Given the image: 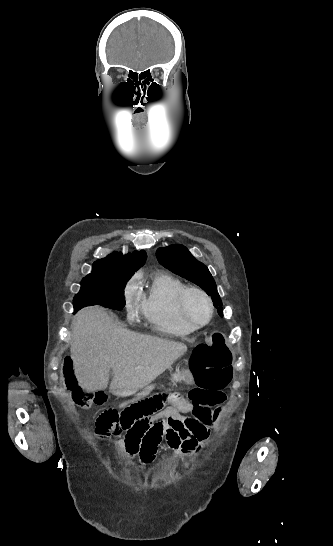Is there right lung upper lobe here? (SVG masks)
<instances>
[{"label": "right lung upper lobe", "instance_id": "right-lung-upper-lobe-1", "mask_svg": "<svg viewBox=\"0 0 333 546\" xmlns=\"http://www.w3.org/2000/svg\"><path fill=\"white\" fill-rule=\"evenodd\" d=\"M146 258L147 255L144 250L134 251L127 255H123L121 252H113L105 258L95 261L92 269L107 268L135 272L144 265Z\"/></svg>", "mask_w": 333, "mask_h": 546}]
</instances>
